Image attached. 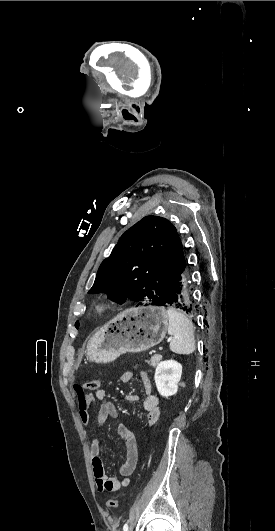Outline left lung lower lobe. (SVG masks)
Here are the masks:
<instances>
[{
    "label": "left lung lower lobe",
    "mask_w": 275,
    "mask_h": 531,
    "mask_svg": "<svg viewBox=\"0 0 275 531\" xmlns=\"http://www.w3.org/2000/svg\"><path fill=\"white\" fill-rule=\"evenodd\" d=\"M163 306L181 310L189 316L194 315L197 305H195L192 281L187 265L183 270L172 295Z\"/></svg>",
    "instance_id": "obj_1"
}]
</instances>
